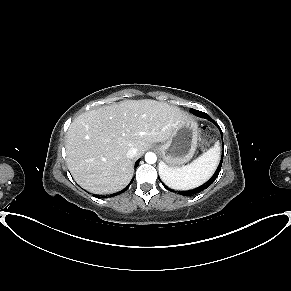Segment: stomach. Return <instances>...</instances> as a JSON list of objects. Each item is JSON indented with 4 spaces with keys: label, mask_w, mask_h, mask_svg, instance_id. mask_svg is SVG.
<instances>
[{
    "label": "stomach",
    "mask_w": 291,
    "mask_h": 291,
    "mask_svg": "<svg viewBox=\"0 0 291 291\" xmlns=\"http://www.w3.org/2000/svg\"><path fill=\"white\" fill-rule=\"evenodd\" d=\"M197 137L198 125L194 119L189 118L158 147L163 157V164L174 168L188 162L196 151Z\"/></svg>",
    "instance_id": "stomach-1"
}]
</instances>
